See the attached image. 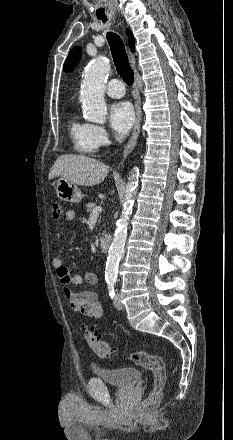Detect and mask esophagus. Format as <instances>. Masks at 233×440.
I'll return each mask as SVG.
<instances>
[{"label":"esophagus","mask_w":233,"mask_h":440,"mask_svg":"<svg viewBox=\"0 0 233 440\" xmlns=\"http://www.w3.org/2000/svg\"><path fill=\"white\" fill-rule=\"evenodd\" d=\"M128 55H129L130 64H131L132 69L135 73L134 93H135V97H136V102H135L136 122H135L133 132L131 134V137H130L127 145L124 148L123 161L132 152V150L134 149V147L137 143L138 136L140 133L141 120H142L141 102H140V95H139V81H138V77H137L136 61H135L134 55L132 54V52L130 50H128Z\"/></svg>","instance_id":"34e87169"}]
</instances>
